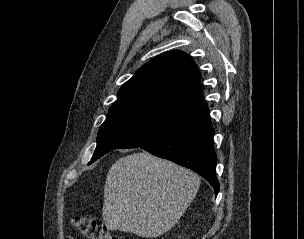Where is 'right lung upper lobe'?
<instances>
[{
    "mask_svg": "<svg viewBox=\"0 0 304 239\" xmlns=\"http://www.w3.org/2000/svg\"><path fill=\"white\" fill-rule=\"evenodd\" d=\"M204 105L196 64L182 51L143 65L118 91L110 112L142 110L169 120Z\"/></svg>",
    "mask_w": 304,
    "mask_h": 239,
    "instance_id": "right-lung-upper-lobe-1",
    "label": "right lung upper lobe"
}]
</instances>
